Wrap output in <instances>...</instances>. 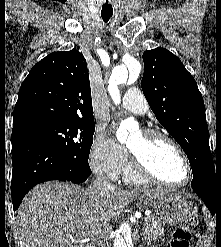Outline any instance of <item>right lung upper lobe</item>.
I'll return each instance as SVG.
<instances>
[{
  "instance_id": "1",
  "label": "right lung upper lobe",
  "mask_w": 221,
  "mask_h": 247,
  "mask_svg": "<svg viewBox=\"0 0 221 247\" xmlns=\"http://www.w3.org/2000/svg\"><path fill=\"white\" fill-rule=\"evenodd\" d=\"M71 121L93 122L87 63L75 49L53 52L34 65L19 90L12 131Z\"/></svg>"
}]
</instances>
